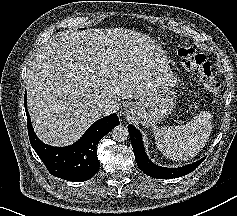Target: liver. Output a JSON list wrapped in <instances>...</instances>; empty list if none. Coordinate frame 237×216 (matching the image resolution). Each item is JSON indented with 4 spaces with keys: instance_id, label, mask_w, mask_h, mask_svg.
I'll use <instances>...</instances> for the list:
<instances>
[{
    "instance_id": "6515ba94",
    "label": "liver",
    "mask_w": 237,
    "mask_h": 216,
    "mask_svg": "<svg viewBox=\"0 0 237 216\" xmlns=\"http://www.w3.org/2000/svg\"><path fill=\"white\" fill-rule=\"evenodd\" d=\"M158 77L151 68L121 62L113 30L61 32L42 46L27 70L34 131L46 144L70 145L115 111L100 108L102 99H140Z\"/></svg>"
}]
</instances>
